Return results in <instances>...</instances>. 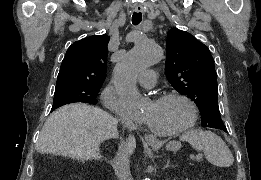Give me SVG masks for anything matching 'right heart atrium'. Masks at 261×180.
I'll use <instances>...</instances> for the list:
<instances>
[{
	"mask_svg": "<svg viewBox=\"0 0 261 180\" xmlns=\"http://www.w3.org/2000/svg\"><path fill=\"white\" fill-rule=\"evenodd\" d=\"M101 101L104 108H112V112H115L117 117H123V120H129V125H123V127H133L126 113L125 105L120 104V99L117 98L116 91L112 85H108L104 88L101 94Z\"/></svg>",
	"mask_w": 261,
	"mask_h": 180,
	"instance_id": "obj_1",
	"label": "right heart atrium"
}]
</instances>
